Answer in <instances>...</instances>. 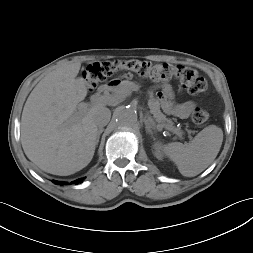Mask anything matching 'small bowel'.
<instances>
[{"mask_svg": "<svg viewBox=\"0 0 253 253\" xmlns=\"http://www.w3.org/2000/svg\"><path fill=\"white\" fill-rule=\"evenodd\" d=\"M155 89L158 90L156 96L162 108L171 115L182 119L187 118L197 106L193 101L176 103L173 89L169 84L156 85Z\"/></svg>", "mask_w": 253, "mask_h": 253, "instance_id": "small-bowel-1", "label": "small bowel"}]
</instances>
